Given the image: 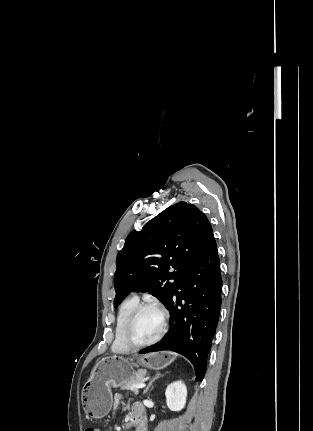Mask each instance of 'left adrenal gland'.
Returning a JSON list of instances; mask_svg holds the SVG:
<instances>
[{
    "label": "left adrenal gland",
    "mask_w": 313,
    "mask_h": 431,
    "mask_svg": "<svg viewBox=\"0 0 313 431\" xmlns=\"http://www.w3.org/2000/svg\"><path fill=\"white\" fill-rule=\"evenodd\" d=\"M162 376H163L162 374L157 373V374L155 375V377H153V378L151 379V381L149 382L148 386H147V387H146V389L144 390V394H146V393L149 391V389L151 388V386L153 385V383H154L158 378H160V377H162Z\"/></svg>",
    "instance_id": "obj_1"
}]
</instances>
